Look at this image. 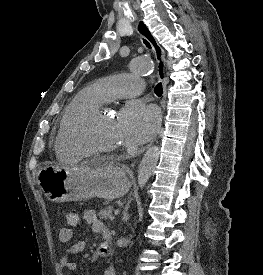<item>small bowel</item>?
<instances>
[{
	"instance_id": "1",
	"label": "small bowel",
	"mask_w": 263,
	"mask_h": 275,
	"mask_svg": "<svg viewBox=\"0 0 263 275\" xmlns=\"http://www.w3.org/2000/svg\"><path fill=\"white\" fill-rule=\"evenodd\" d=\"M83 220L86 224L91 226L93 232L101 234L103 242L97 247L95 257L102 258L111 254L110 246V232L106 225L98 218L96 212L92 209L86 210L83 213ZM74 236L72 226H66L59 230L58 238L62 243H69ZM86 247V240H79L78 242L68 246L62 255L59 264L62 268L68 271L76 270V263L72 260L73 257L84 250ZM104 275H116V270L113 265H108L105 269Z\"/></svg>"
}]
</instances>
